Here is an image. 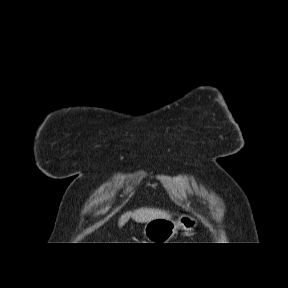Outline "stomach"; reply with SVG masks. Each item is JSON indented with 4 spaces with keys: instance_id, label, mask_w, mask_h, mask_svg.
I'll return each instance as SVG.
<instances>
[{
    "instance_id": "stomach-1",
    "label": "stomach",
    "mask_w": 288,
    "mask_h": 288,
    "mask_svg": "<svg viewBox=\"0 0 288 288\" xmlns=\"http://www.w3.org/2000/svg\"><path fill=\"white\" fill-rule=\"evenodd\" d=\"M197 225V220L190 215H181L177 221L171 218H157L144 226V236L149 243H168L176 234L178 228L191 230Z\"/></svg>"
}]
</instances>
